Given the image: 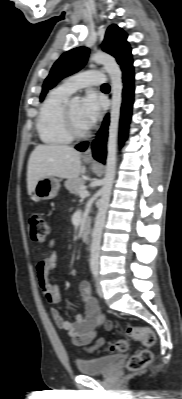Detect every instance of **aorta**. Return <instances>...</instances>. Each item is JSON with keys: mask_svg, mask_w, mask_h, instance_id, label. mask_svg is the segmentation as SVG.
Segmentation results:
<instances>
[{"mask_svg": "<svg viewBox=\"0 0 182 399\" xmlns=\"http://www.w3.org/2000/svg\"><path fill=\"white\" fill-rule=\"evenodd\" d=\"M90 59L97 64L103 65L111 79V109L107 141L106 170L103 186L101 188V198L99 200L98 213L96 215L94 228L91 234L92 240L90 246V264L91 266L98 267L101 236L116 171L117 138L122 103L123 82L121 69L114 57L104 52H97L94 53ZM79 103V96H75L71 99V104L75 105Z\"/></svg>", "mask_w": 182, "mask_h": 399, "instance_id": "obj_1", "label": "aorta"}]
</instances>
